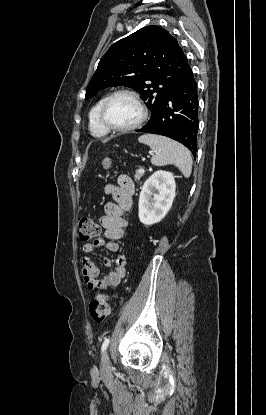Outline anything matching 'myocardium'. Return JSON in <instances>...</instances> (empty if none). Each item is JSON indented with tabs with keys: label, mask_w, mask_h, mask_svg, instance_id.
<instances>
[{
	"label": "myocardium",
	"mask_w": 266,
	"mask_h": 415,
	"mask_svg": "<svg viewBox=\"0 0 266 415\" xmlns=\"http://www.w3.org/2000/svg\"><path fill=\"white\" fill-rule=\"evenodd\" d=\"M119 95H127V96L131 97L140 109V117L138 118V120L135 123H133L132 125L127 126V127L112 126L107 120L106 113H107L108 105H109V103L111 102V100L113 98H115L116 96H119ZM147 116H148L147 108H146L145 104L143 103L141 97L139 96V94L137 92H135L131 89H119V90H116V91L110 93L105 98V100L103 101V104L101 106L99 118H100V122H101L102 126L108 132L126 133V132H130V131H133V130L139 128L145 122V120L147 119Z\"/></svg>",
	"instance_id": "1"
}]
</instances>
